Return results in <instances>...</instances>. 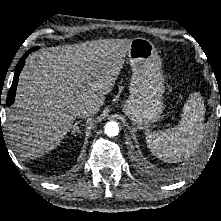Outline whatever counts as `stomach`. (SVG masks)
<instances>
[{"label": "stomach", "instance_id": "1", "mask_svg": "<svg viewBox=\"0 0 221 221\" xmlns=\"http://www.w3.org/2000/svg\"><path fill=\"white\" fill-rule=\"evenodd\" d=\"M132 69L130 96L123 104V112L139 128L157 122L163 112L164 78L161 58L154 44L137 37L131 40L127 52Z\"/></svg>", "mask_w": 221, "mask_h": 221}]
</instances>
